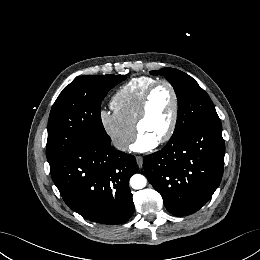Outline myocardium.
<instances>
[{"mask_svg":"<svg viewBox=\"0 0 260 260\" xmlns=\"http://www.w3.org/2000/svg\"><path fill=\"white\" fill-rule=\"evenodd\" d=\"M161 86H166L170 90L172 97H173V111H172V116H171V121L170 125L168 127V130L166 133L158 140V144H164L168 142L174 135L178 123V118H179V97L178 93L176 91V88L172 83H170L167 80H157L154 82L145 92L140 107L139 111L136 117L135 121V127L138 133H140V124L143 121V119L146 117L148 113V108H149V103L151 100V97L153 93Z\"/></svg>","mask_w":260,"mask_h":260,"instance_id":"f54148a6","label":"myocardium"}]
</instances>
